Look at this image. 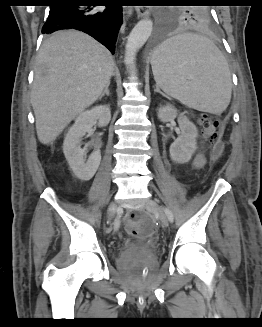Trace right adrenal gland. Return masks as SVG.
Listing matches in <instances>:
<instances>
[{"instance_id":"2a0ac1e0","label":"right adrenal gland","mask_w":262,"mask_h":327,"mask_svg":"<svg viewBox=\"0 0 262 327\" xmlns=\"http://www.w3.org/2000/svg\"><path fill=\"white\" fill-rule=\"evenodd\" d=\"M109 85L110 84H108L106 87H105V89H104V91L101 93V95L99 96V100H101L105 95L106 96H109L110 95V93H109Z\"/></svg>"}]
</instances>
